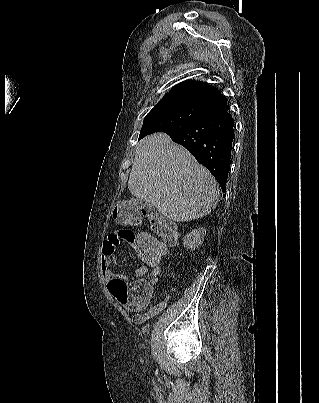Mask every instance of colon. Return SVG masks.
I'll use <instances>...</instances> for the list:
<instances>
[{
	"label": "colon",
	"mask_w": 319,
	"mask_h": 403,
	"mask_svg": "<svg viewBox=\"0 0 319 403\" xmlns=\"http://www.w3.org/2000/svg\"><path fill=\"white\" fill-rule=\"evenodd\" d=\"M113 215L114 221L125 224H138L142 219L147 220L151 229H140L136 235L139 253L144 258H157L159 254H165L166 243H174L178 237L177 229L171 222L155 212L145 211L131 197H123L114 208Z\"/></svg>",
	"instance_id": "obj_1"
}]
</instances>
